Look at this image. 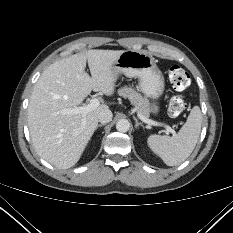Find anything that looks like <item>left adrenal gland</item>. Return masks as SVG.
Wrapping results in <instances>:
<instances>
[{
	"label": "left adrenal gland",
	"instance_id": "a2214340",
	"mask_svg": "<svg viewBox=\"0 0 233 233\" xmlns=\"http://www.w3.org/2000/svg\"><path fill=\"white\" fill-rule=\"evenodd\" d=\"M139 126L143 127L142 123L138 122V120L135 118V128H139Z\"/></svg>",
	"mask_w": 233,
	"mask_h": 233
}]
</instances>
